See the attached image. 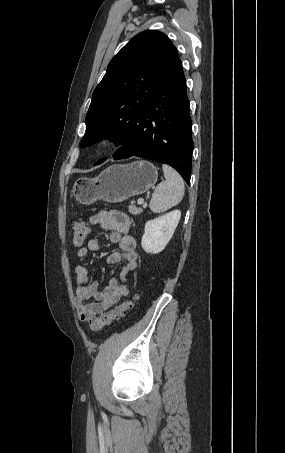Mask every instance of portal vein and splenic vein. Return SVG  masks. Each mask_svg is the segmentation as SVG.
<instances>
[{"label": "portal vein and splenic vein", "mask_w": 285, "mask_h": 453, "mask_svg": "<svg viewBox=\"0 0 285 453\" xmlns=\"http://www.w3.org/2000/svg\"><path fill=\"white\" fill-rule=\"evenodd\" d=\"M138 204H139V205L144 204V199H143V198L138 199Z\"/></svg>", "instance_id": "portal-vein-and-splenic-vein-1"}]
</instances>
